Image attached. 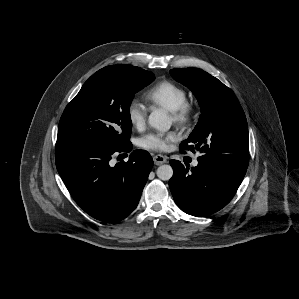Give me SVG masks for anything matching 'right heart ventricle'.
Returning a JSON list of instances; mask_svg holds the SVG:
<instances>
[{"mask_svg": "<svg viewBox=\"0 0 299 299\" xmlns=\"http://www.w3.org/2000/svg\"><path fill=\"white\" fill-rule=\"evenodd\" d=\"M146 98L154 106L172 112L187 101V93L183 87L174 82L161 81L146 92Z\"/></svg>", "mask_w": 299, "mask_h": 299, "instance_id": "right-heart-ventricle-1", "label": "right heart ventricle"}]
</instances>
